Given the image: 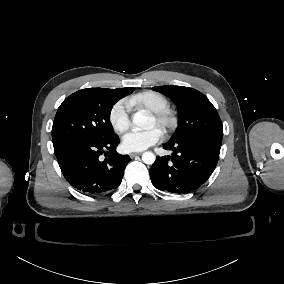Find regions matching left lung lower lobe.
Listing matches in <instances>:
<instances>
[{"mask_svg":"<svg viewBox=\"0 0 284 284\" xmlns=\"http://www.w3.org/2000/svg\"><path fill=\"white\" fill-rule=\"evenodd\" d=\"M172 156L157 157L150 169L152 184L162 191L187 194L199 188L213 173L221 141L207 137L186 138L167 142Z\"/></svg>","mask_w":284,"mask_h":284,"instance_id":"obj_1","label":"left lung lower lobe"}]
</instances>
